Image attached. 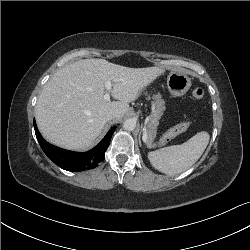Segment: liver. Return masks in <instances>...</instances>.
<instances>
[{
    "label": "liver",
    "mask_w": 250,
    "mask_h": 250,
    "mask_svg": "<svg viewBox=\"0 0 250 250\" xmlns=\"http://www.w3.org/2000/svg\"><path fill=\"white\" fill-rule=\"evenodd\" d=\"M164 73L159 67L129 68L104 59L79 60L59 69L45 84L35 114L43 137L52 144L85 150L100 135L110 111L121 119L129 103ZM118 101L104 99L105 82Z\"/></svg>",
    "instance_id": "liver-1"
}]
</instances>
